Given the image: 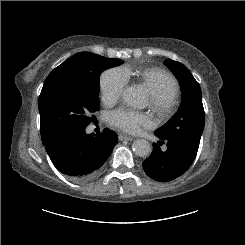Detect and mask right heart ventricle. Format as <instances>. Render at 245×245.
I'll return each mask as SVG.
<instances>
[{
    "label": "right heart ventricle",
    "mask_w": 245,
    "mask_h": 245,
    "mask_svg": "<svg viewBox=\"0 0 245 245\" xmlns=\"http://www.w3.org/2000/svg\"><path fill=\"white\" fill-rule=\"evenodd\" d=\"M127 79L131 75V71L127 68L124 69ZM138 79L148 88L150 93L162 90L170 89L176 96L178 92V84L175 78L159 68H146L138 72Z\"/></svg>",
    "instance_id": "obj_1"
}]
</instances>
